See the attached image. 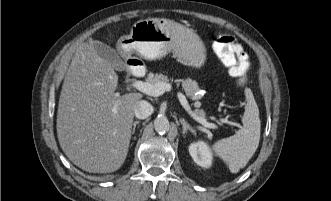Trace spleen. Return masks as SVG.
<instances>
[{
  "instance_id": "spleen-1",
  "label": "spleen",
  "mask_w": 331,
  "mask_h": 201,
  "mask_svg": "<svg viewBox=\"0 0 331 201\" xmlns=\"http://www.w3.org/2000/svg\"><path fill=\"white\" fill-rule=\"evenodd\" d=\"M243 127L235 135L216 141L212 148L232 173L244 168L258 148L261 122L259 109L252 95L247 97L242 117Z\"/></svg>"
}]
</instances>
